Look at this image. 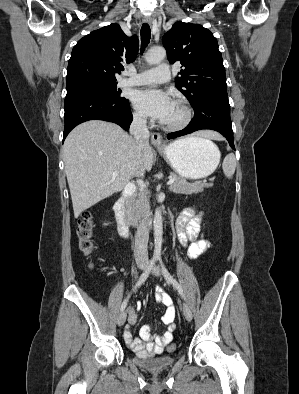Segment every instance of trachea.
Listing matches in <instances>:
<instances>
[{
    "label": "trachea",
    "mask_w": 299,
    "mask_h": 394,
    "mask_svg": "<svg viewBox=\"0 0 299 394\" xmlns=\"http://www.w3.org/2000/svg\"><path fill=\"white\" fill-rule=\"evenodd\" d=\"M151 29L150 26L144 23L141 27V53L144 52L146 46L150 42Z\"/></svg>",
    "instance_id": "3493384b"
}]
</instances>
